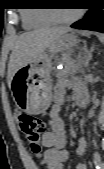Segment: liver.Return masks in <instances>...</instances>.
<instances>
[{"mask_svg": "<svg viewBox=\"0 0 104 169\" xmlns=\"http://www.w3.org/2000/svg\"><path fill=\"white\" fill-rule=\"evenodd\" d=\"M71 31L67 26L43 27L21 34L12 45L8 63L7 83L11 86L14 74L27 63L33 62L58 37Z\"/></svg>", "mask_w": 104, "mask_h": 169, "instance_id": "obj_1", "label": "liver"}]
</instances>
